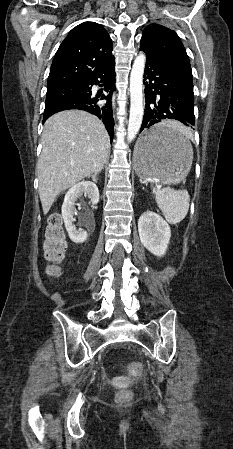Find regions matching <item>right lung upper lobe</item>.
I'll list each match as a JSON object with an SVG mask.
<instances>
[{
	"label": "right lung upper lobe",
	"instance_id": "obj_1",
	"mask_svg": "<svg viewBox=\"0 0 233 449\" xmlns=\"http://www.w3.org/2000/svg\"><path fill=\"white\" fill-rule=\"evenodd\" d=\"M112 40L100 24L84 22L73 28L53 59L47 90L82 85L115 62Z\"/></svg>",
	"mask_w": 233,
	"mask_h": 449
}]
</instances>
